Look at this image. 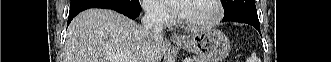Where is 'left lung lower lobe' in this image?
Listing matches in <instances>:
<instances>
[{
    "label": "left lung lower lobe",
    "instance_id": "1",
    "mask_svg": "<svg viewBox=\"0 0 331 62\" xmlns=\"http://www.w3.org/2000/svg\"><path fill=\"white\" fill-rule=\"evenodd\" d=\"M226 21H234V22L248 24L253 26L260 32V23L258 16H252L249 14L240 13V14L224 17L223 22Z\"/></svg>",
    "mask_w": 331,
    "mask_h": 62
}]
</instances>
